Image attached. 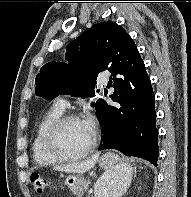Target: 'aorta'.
I'll use <instances>...</instances> for the list:
<instances>
[{"instance_id": "1", "label": "aorta", "mask_w": 191, "mask_h": 197, "mask_svg": "<svg viewBox=\"0 0 191 197\" xmlns=\"http://www.w3.org/2000/svg\"><path fill=\"white\" fill-rule=\"evenodd\" d=\"M108 176V173L107 175ZM106 176L105 177H102L98 183H97V191H96V194L98 195V197H106L107 196V193L105 192V190H103V186H105V183H106Z\"/></svg>"}]
</instances>
